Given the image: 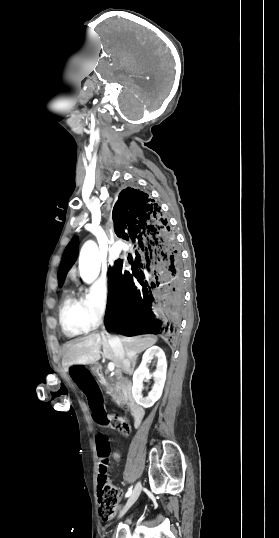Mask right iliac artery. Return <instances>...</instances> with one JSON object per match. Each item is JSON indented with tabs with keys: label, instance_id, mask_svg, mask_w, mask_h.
Returning <instances> with one entry per match:
<instances>
[{
	"label": "right iliac artery",
	"instance_id": "1",
	"mask_svg": "<svg viewBox=\"0 0 279 538\" xmlns=\"http://www.w3.org/2000/svg\"><path fill=\"white\" fill-rule=\"evenodd\" d=\"M132 493V487L129 488V490L127 491L125 497H129Z\"/></svg>",
	"mask_w": 279,
	"mask_h": 538
}]
</instances>
